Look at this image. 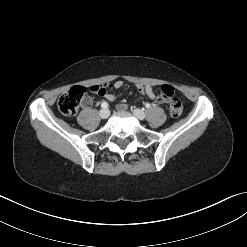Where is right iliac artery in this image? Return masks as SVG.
<instances>
[{
	"label": "right iliac artery",
	"instance_id": "1",
	"mask_svg": "<svg viewBox=\"0 0 247 247\" xmlns=\"http://www.w3.org/2000/svg\"><path fill=\"white\" fill-rule=\"evenodd\" d=\"M101 107L104 108V109L108 108V103L107 102H103L101 104Z\"/></svg>",
	"mask_w": 247,
	"mask_h": 247
}]
</instances>
